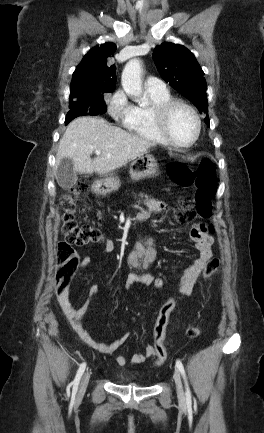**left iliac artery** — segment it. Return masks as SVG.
I'll list each match as a JSON object with an SVG mask.
<instances>
[{
	"mask_svg": "<svg viewBox=\"0 0 264 433\" xmlns=\"http://www.w3.org/2000/svg\"><path fill=\"white\" fill-rule=\"evenodd\" d=\"M176 366L179 369L180 373L182 374V376L185 380V383H186V401L188 404H191V392H190V389H189L187 381H186L184 366L180 360L176 361Z\"/></svg>",
	"mask_w": 264,
	"mask_h": 433,
	"instance_id": "44dca946",
	"label": "left iliac artery"
}]
</instances>
